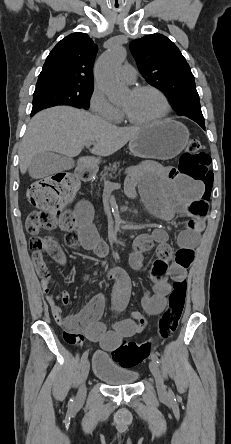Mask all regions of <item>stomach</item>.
<instances>
[{
    "instance_id": "0dacf381",
    "label": "stomach",
    "mask_w": 231,
    "mask_h": 444,
    "mask_svg": "<svg viewBox=\"0 0 231 444\" xmlns=\"http://www.w3.org/2000/svg\"><path fill=\"white\" fill-rule=\"evenodd\" d=\"M188 141V129L176 120L166 119L144 127L130 140L129 149L140 158L168 160L182 152ZM96 163L94 159H83L79 162V168L89 169Z\"/></svg>"
}]
</instances>
